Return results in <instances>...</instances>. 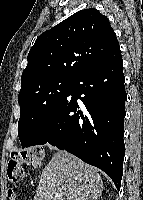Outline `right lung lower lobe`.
<instances>
[{
	"label": "right lung lower lobe",
	"mask_w": 143,
	"mask_h": 200,
	"mask_svg": "<svg viewBox=\"0 0 143 200\" xmlns=\"http://www.w3.org/2000/svg\"><path fill=\"white\" fill-rule=\"evenodd\" d=\"M120 47L83 69L44 119L27 147L49 143L103 170L119 190L125 155Z\"/></svg>",
	"instance_id": "1"
}]
</instances>
